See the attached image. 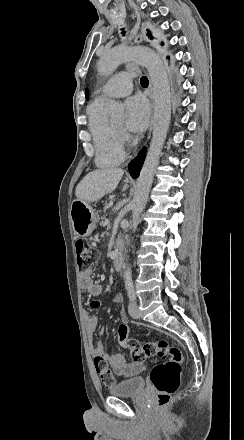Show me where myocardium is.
<instances>
[{"label": "myocardium", "instance_id": "obj_1", "mask_svg": "<svg viewBox=\"0 0 244 440\" xmlns=\"http://www.w3.org/2000/svg\"><path fill=\"white\" fill-rule=\"evenodd\" d=\"M108 127H109L111 130L116 131V132H118V131H120V130L122 129V127L116 129V128L112 127V126L109 125V124H108Z\"/></svg>", "mask_w": 244, "mask_h": 440}]
</instances>
